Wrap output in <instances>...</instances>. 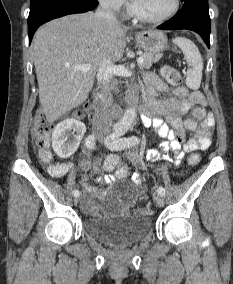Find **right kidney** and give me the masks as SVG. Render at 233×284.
<instances>
[{"mask_svg": "<svg viewBox=\"0 0 233 284\" xmlns=\"http://www.w3.org/2000/svg\"><path fill=\"white\" fill-rule=\"evenodd\" d=\"M86 132L83 123L74 119L60 122L52 133V147L60 158H68L78 149Z\"/></svg>", "mask_w": 233, "mask_h": 284, "instance_id": "obj_1", "label": "right kidney"}]
</instances>
